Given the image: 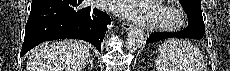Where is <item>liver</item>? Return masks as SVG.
Segmentation results:
<instances>
[{
	"mask_svg": "<svg viewBox=\"0 0 230 71\" xmlns=\"http://www.w3.org/2000/svg\"><path fill=\"white\" fill-rule=\"evenodd\" d=\"M89 57V48L82 41L46 43L29 56L27 71H82Z\"/></svg>",
	"mask_w": 230,
	"mask_h": 71,
	"instance_id": "6515ba94",
	"label": "liver"
}]
</instances>
